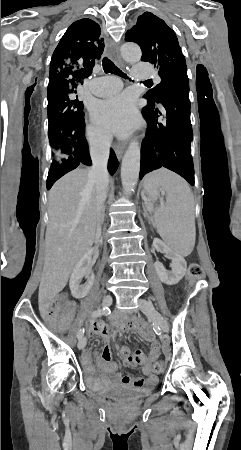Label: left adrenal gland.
<instances>
[{
    "mask_svg": "<svg viewBox=\"0 0 241 450\" xmlns=\"http://www.w3.org/2000/svg\"><path fill=\"white\" fill-rule=\"evenodd\" d=\"M143 210H144V216H145V218H148L149 224H151V220H150V218H149V216H148V214H147V210H146L145 206H143Z\"/></svg>",
    "mask_w": 241,
    "mask_h": 450,
    "instance_id": "left-adrenal-gland-1",
    "label": "left adrenal gland"
}]
</instances>
